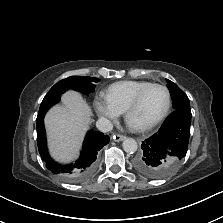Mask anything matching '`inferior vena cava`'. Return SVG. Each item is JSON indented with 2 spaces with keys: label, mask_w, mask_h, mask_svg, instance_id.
I'll use <instances>...</instances> for the list:
<instances>
[{
  "label": "inferior vena cava",
  "mask_w": 223,
  "mask_h": 223,
  "mask_svg": "<svg viewBox=\"0 0 223 223\" xmlns=\"http://www.w3.org/2000/svg\"><path fill=\"white\" fill-rule=\"evenodd\" d=\"M96 126L101 132H109L113 129L112 122L104 117L98 119Z\"/></svg>",
  "instance_id": "1"
}]
</instances>
